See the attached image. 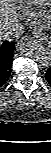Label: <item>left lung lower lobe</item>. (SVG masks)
<instances>
[{
  "label": "left lung lower lobe",
  "instance_id": "left-lung-lower-lobe-1",
  "mask_svg": "<svg viewBox=\"0 0 51 153\" xmlns=\"http://www.w3.org/2000/svg\"><path fill=\"white\" fill-rule=\"evenodd\" d=\"M46 80L51 85V67L46 72Z\"/></svg>",
  "mask_w": 51,
  "mask_h": 153
}]
</instances>
